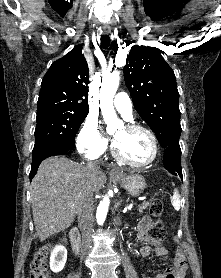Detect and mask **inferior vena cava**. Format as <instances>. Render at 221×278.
<instances>
[{"label":"inferior vena cava","mask_w":221,"mask_h":278,"mask_svg":"<svg viewBox=\"0 0 221 278\" xmlns=\"http://www.w3.org/2000/svg\"><path fill=\"white\" fill-rule=\"evenodd\" d=\"M87 168L91 171H98L100 167L95 162L87 163ZM79 227L83 235V246L87 250L90 247V235L93 228V191L88 187L84 193L78 209Z\"/></svg>","instance_id":"602c4592"}]
</instances>
